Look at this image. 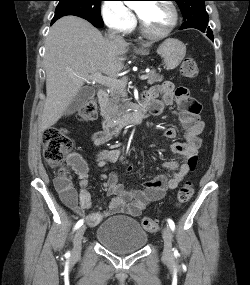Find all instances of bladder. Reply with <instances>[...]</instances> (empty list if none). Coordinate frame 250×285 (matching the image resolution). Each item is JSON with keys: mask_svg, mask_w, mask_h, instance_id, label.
<instances>
[{"mask_svg": "<svg viewBox=\"0 0 250 285\" xmlns=\"http://www.w3.org/2000/svg\"><path fill=\"white\" fill-rule=\"evenodd\" d=\"M95 237L103 247L116 254L138 251L148 240V234L136 219L122 215L103 221L97 227Z\"/></svg>", "mask_w": 250, "mask_h": 285, "instance_id": "31cf9c89", "label": "bladder"}]
</instances>
